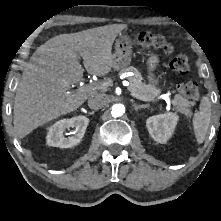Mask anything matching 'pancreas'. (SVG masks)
I'll return each instance as SVG.
<instances>
[{"label": "pancreas", "mask_w": 221, "mask_h": 221, "mask_svg": "<svg viewBox=\"0 0 221 221\" xmlns=\"http://www.w3.org/2000/svg\"><path fill=\"white\" fill-rule=\"evenodd\" d=\"M133 72L134 76L128 78L129 86L128 90L131 94H135L137 97H143L146 99H153L158 95L159 90L151 84H145L142 82L143 78L140 72L133 66L122 69L120 73ZM177 111L187 116L191 115L190 102L180 95L175 96L173 101Z\"/></svg>", "instance_id": "pancreas-1"}]
</instances>
